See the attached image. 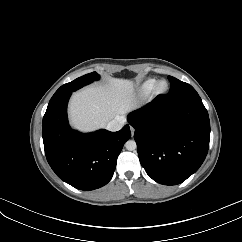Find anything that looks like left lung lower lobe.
Segmentation results:
<instances>
[{
    "label": "left lung lower lobe",
    "instance_id": "left-lung-lower-lobe-1",
    "mask_svg": "<svg viewBox=\"0 0 242 242\" xmlns=\"http://www.w3.org/2000/svg\"><path fill=\"white\" fill-rule=\"evenodd\" d=\"M141 165L154 181L177 185L208 153L210 121L198 94L157 96L128 115Z\"/></svg>",
    "mask_w": 242,
    "mask_h": 242
}]
</instances>
